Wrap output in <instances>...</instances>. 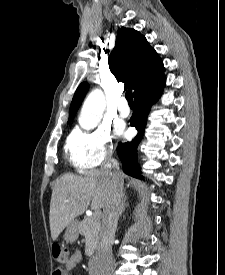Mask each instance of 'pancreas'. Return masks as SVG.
Returning a JSON list of instances; mask_svg holds the SVG:
<instances>
[{"label":"pancreas","mask_w":225,"mask_h":275,"mask_svg":"<svg viewBox=\"0 0 225 275\" xmlns=\"http://www.w3.org/2000/svg\"><path fill=\"white\" fill-rule=\"evenodd\" d=\"M100 222L89 217L83 220L79 225V232L85 237V254L92 256L99 242Z\"/></svg>","instance_id":"pancreas-1"}]
</instances>
